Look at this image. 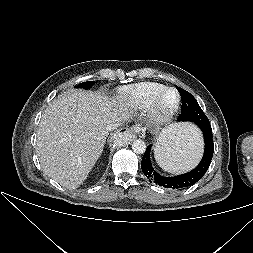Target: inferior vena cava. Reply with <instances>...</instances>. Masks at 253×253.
I'll list each match as a JSON object with an SVG mask.
<instances>
[{
    "instance_id": "602c4592",
    "label": "inferior vena cava",
    "mask_w": 253,
    "mask_h": 253,
    "mask_svg": "<svg viewBox=\"0 0 253 253\" xmlns=\"http://www.w3.org/2000/svg\"><path fill=\"white\" fill-rule=\"evenodd\" d=\"M120 124L119 123H113V124H110L107 129L110 131V130H113L115 128H117Z\"/></svg>"
}]
</instances>
